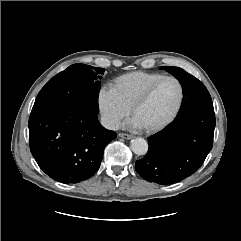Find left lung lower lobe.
Listing matches in <instances>:
<instances>
[{"instance_id": "left-lung-lower-lobe-1", "label": "left lung lower lobe", "mask_w": 241, "mask_h": 241, "mask_svg": "<svg viewBox=\"0 0 241 241\" xmlns=\"http://www.w3.org/2000/svg\"><path fill=\"white\" fill-rule=\"evenodd\" d=\"M213 107H201L177 118L148 139L146 156L136 161L138 174L149 182L172 184L191 176L212 149Z\"/></svg>"}]
</instances>
